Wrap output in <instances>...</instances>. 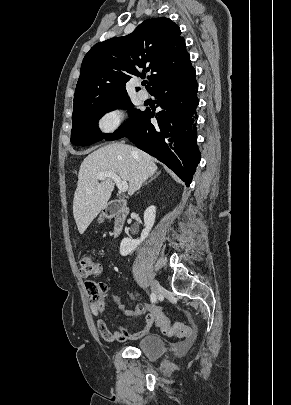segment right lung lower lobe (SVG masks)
I'll return each instance as SVG.
<instances>
[{"label": "right lung lower lobe", "mask_w": 291, "mask_h": 405, "mask_svg": "<svg viewBox=\"0 0 291 405\" xmlns=\"http://www.w3.org/2000/svg\"><path fill=\"white\" fill-rule=\"evenodd\" d=\"M197 90L195 71L158 85L151 95L162 110L156 115L145 110L125 135L139 149L172 169L187 187L201 159L196 141ZM154 116L157 123L152 124L150 119Z\"/></svg>", "instance_id": "right-lung-lower-lobe-1"}]
</instances>
